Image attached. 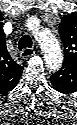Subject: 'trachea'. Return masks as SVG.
<instances>
[{"mask_svg":"<svg viewBox=\"0 0 77 125\" xmlns=\"http://www.w3.org/2000/svg\"><path fill=\"white\" fill-rule=\"evenodd\" d=\"M32 47V40L30 36L24 35L23 37L20 38L18 42V48L21 51L24 48H30Z\"/></svg>","mask_w":77,"mask_h":125,"instance_id":"obj_1","label":"trachea"}]
</instances>
